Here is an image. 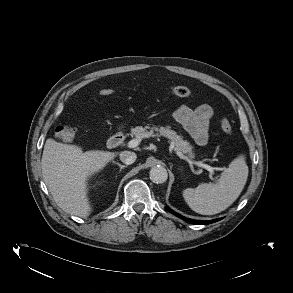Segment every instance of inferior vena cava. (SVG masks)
I'll return each mask as SVG.
<instances>
[{
	"mask_svg": "<svg viewBox=\"0 0 293 293\" xmlns=\"http://www.w3.org/2000/svg\"><path fill=\"white\" fill-rule=\"evenodd\" d=\"M136 158V154L131 151H123L120 153V160L127 165L134 163Z\"/></svg>",
	"mask_w": 293,
	"mask_h": 293,
	"instance_id": "602c4592",
	"label": "inferior vena cava"
}]
</instances>
